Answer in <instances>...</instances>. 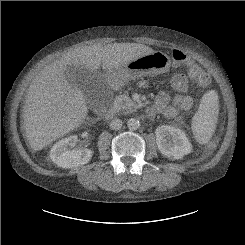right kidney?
Segmentation results:
<instances>
[{"instance_id": "right-kidney-1", "label": "right kidney", "mask_w": 245, "mask_h": 245, "mask_svg": "<svg viewBox=\"0 0 245 245\" xmlns=\"http://www.w3.org/2000/svg\"><path fill=\"white\" fill-rule=\"evenodd\" d=\"M77 136H69L59 140L50 151L51 160L61 168H74L88 163L93 151L87 148H73Z\"/></svg>"}]
</instances>
